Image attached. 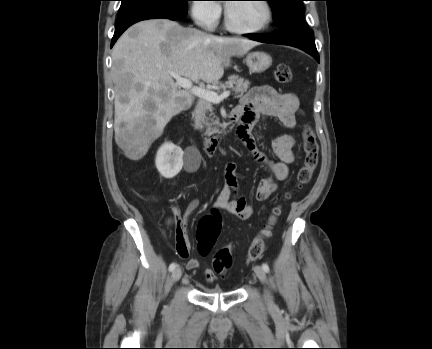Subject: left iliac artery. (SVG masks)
<instances>
[{
	"mask_svg": "<svg viewBox=\"0 0 432 349\" xmlns=\"http://www.w3.org/2000/svg\"><path fill=\"white\" fill-rule=\"evenodd\" d=\"M262 268L267 273L270 271V268H269L268 264H266V263L262 264Z\"/></svg>",
	"mask_w": 432,
	"mask_h": 349,
	"instance_id": "44dca946",
	"label": "left iliac artery"
}]
</instances>
